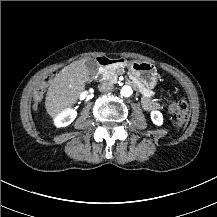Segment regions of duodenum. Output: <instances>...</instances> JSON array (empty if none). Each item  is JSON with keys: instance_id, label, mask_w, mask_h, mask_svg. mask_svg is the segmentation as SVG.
<instances>
[{"instance_id": "410a0bca", "label": "duodenum", "mask_w": 217, "mask_h": 217, "mask_svg": "<svg viewBox=\"0 0 217 217\" xmlns=\"http://www.w3.org/2000/svg\"><path fill=\"white\" fill-rule=\"evenodd\" d=\"M121 63L118 59L108 58V57H98L97 64L101 67H115Z\"/></svg>"}]
</instances>
